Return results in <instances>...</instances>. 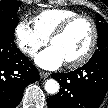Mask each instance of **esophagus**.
<instances>
[{
    "instance_id": "esophagus-1",
    "label": "esophagus",
    "mask_w": 108,
    "mask_h": 108,
    "mask_svg": "<svg viewBox=\"0 0 108 108\" xmlns=\"http://www.w3.org/2000/svg\"><path fill=\"white\" fill-rule=\"evenodd\" d=\"M39 73H40V77H41V78H47V77L50 75L49 72L42 71V70H40Z\"/></svg>"
}]
</instances>
